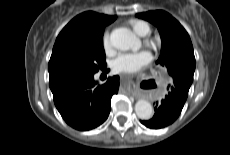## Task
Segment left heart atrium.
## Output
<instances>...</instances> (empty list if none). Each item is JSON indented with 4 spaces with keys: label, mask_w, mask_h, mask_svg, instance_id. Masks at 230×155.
<instances>
[{
    "label": "left heart atrium",
    "mask_w": 230,
    "mask_h": 155,
    "mask_svg": "<svg viewBox=\"0 0 230 155\" xmlns=\"http://www.w3.org/2000/svg\"><path fill=\"white\" fill-rule=\"evenodd\" d=\"M152 61V55L147 50L119 53L112 61V69L117 73H135Z\"/></svg>",
    "instance_id": "left-heart-atrium-1"
}]
</instances>
